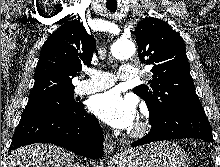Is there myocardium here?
I'll return each mask as SVG.
<instances>
[{"label": "myocardium", "instance_id": "1", "mask_svg": "<svg viewBox=\"0 0 220 167\" xmlns=\"http://www.w3.org/2000/svg\"><path fill=\"white\" fill-rule=\"evenodd\" d=\"M150 129V123L147 119L143 118L137 122L134 129L131 132V136L134 138H141L145 136Z\"/></svg>", "mask_w": 220, "mask_h": 167}]
</instances>
